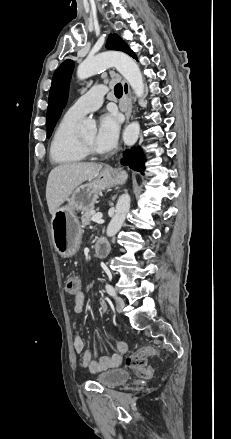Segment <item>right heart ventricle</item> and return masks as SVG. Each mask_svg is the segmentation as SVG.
<instances>
[{
	"label": "right heart ventricle",
	"mask_w": 231,
	"mask_h": 439,
	"mask_svg": "<svg viewBox=\"0 0 231 439\" xmlns=\"http://www.w3.org/2000/svg\"><path fill=\"white\" fill-rule=\"evenodd\" d=\"M79 121L65 115L57 125L49 148L50 159L54 164L69 166L85 160L87 155L78 141Z\"/></svg>",
	"instance_id": "right-heart-ventricle-1"
}]
</instances>
